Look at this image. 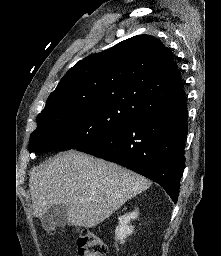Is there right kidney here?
Segmentation results:
<instances>
[{"mask_svg": "<svg viewBox=\"0 0 221 256\" xmlns=\"http://www.w3.org/2000/svg\"><path fill=\"white\" fill-rule=\"evenodd\" d=\"M137 215V212H131L118 218L119 225L116 227L115 236L116 240H119L121 244L125 242L128 235L133 233L134 227L129 224L131 220L136 219Z\"/></svg>", "mask_w": 221, "mask_h": 256, "instance_id": "right-kidney-1", "label": "right kidney"}]
</instances>
